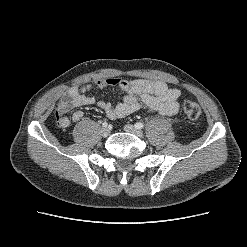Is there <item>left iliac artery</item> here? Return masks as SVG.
<instances>
[{
    "instance_id": "left-iliac-artery-1",
    "label": "left iliac artery",
    "mask_w": 247,
    "mask_h": 247,
    "mask_svg": "<svg viewBox=\"0 0 247 247\" xmlns=\"http://www.w3.org/2000/svg\"><path fill=\"white\" fill-rule=\"evenodd\" d=\"M135 128L142 129V128H144V124L142 122H137V123H135Z\"/></svg>"
}]
</instances>
